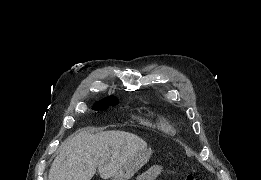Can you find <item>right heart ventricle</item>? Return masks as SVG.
Instances as JSON below:
<instances>
[{
    "mask_svg": "<svg viewBox=\"0 0 261 180\" xmlns=\"http://www.w3.org/2000/svg\"><path fill=\"white\" fill-rule=\"evenodd\" d=\"M143 127L152 133H167V137H173L177 134L176 128L165 118L141 119Z\"/></svg>",
    "mask_w": 261,
    "mask_h": 180,
    "instance_id": "right-heart-ventricle-1",
    "label": "right heart ventricle"
}]
</instances>
